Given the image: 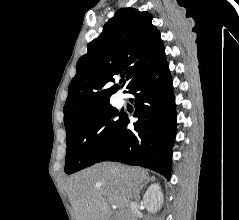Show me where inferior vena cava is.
<instances>
[{
	"label": "inferior vena cava",
	"mask_w": 239,
	"mask_h": 220,
	"mask_svg": "<svg viewBox=\"0 0 239 220\" xmlns=\"http://www.w3.org/2000/svg\"><path fill=\"white\" fill-rule=\"evenodd\" d=\"M135 212H136V203L133 201H129V211L128 214L124 217L125 220H136Z\"/></svg>",
	"instance_id": "inferior-vena-cava-1"
}]
</instances>
